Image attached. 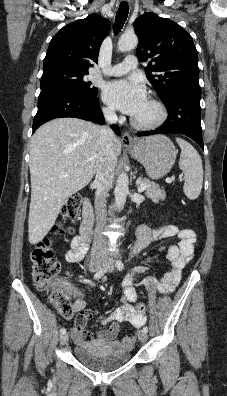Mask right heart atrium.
Returning <instances> with one entry per match:
<instances>
[{
	"mask_svg": "<svg viewBox=\"0 0 227 396\" xmlns=\"http://www.w3.org/2000/svg\"><path fill=\"white\" fill-rule=\"evenodd\" d=\"M103 113L109 119H115L116 118V113H115L114 109L111 108V107H104L103 108Z\"/></svg>",
	"mask_w": 227,
	"mask_h": 396,
	"instance_id": "right-heart-atrium-1",
	"label": "right heart atrium"
}]
</instances>
